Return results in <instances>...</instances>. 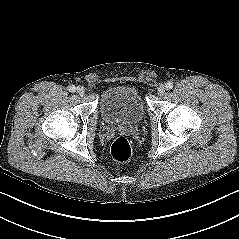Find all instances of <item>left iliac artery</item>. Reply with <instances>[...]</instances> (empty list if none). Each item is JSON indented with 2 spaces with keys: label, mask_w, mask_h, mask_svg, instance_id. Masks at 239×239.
Instances as JSON below:
<instances>
[{
  "label": "left iliac artery",
  "mask_w": 239,
  "mask_h": 239,
  "mask_svg": "<svg viewBox=\"0 0 239 239\" xmlns=\"http://www.w3.org/2000/svg\"><path fill=\"white\" fill-rule=\"evenodd\" d=\"M165 87H166L167 90H170V89L173 88V83L169 81L165 84Z\"/></svg>",
  "instance_id": "obj_1"
}]
</instances>
